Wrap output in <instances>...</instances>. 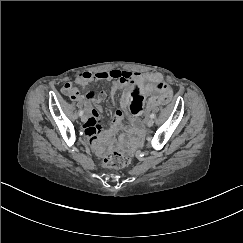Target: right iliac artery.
<instances>
[{
  "label": "right iliac artery",
  "mask_w": 243,
  "mask_h": 243,
  "mask_svg": "<svg viewBox=\"0 0 243 243\" xmlns=\"http://www.w3.org/2000/svg\"><path fill=\"white\" fill-rule=\"evenodd\" d=\"M83 113H84V111H83V110H80V112H79V116H82Z\"/></svg>",
  "instance_id": "right-iliac-artery-1"
}]
</instances>
